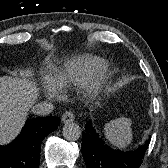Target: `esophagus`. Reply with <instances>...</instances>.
I'll use <instances>...</instances> for the list:
<instances>
[{
  "instance_id": "obj_1",
  "label": "esophagus",
  "mask_w": 168,
  "mask_h": 168,
  "mask_svg": "<svg viewBox=\"0 0 168 168\" xmlns=\"http://www.w3.org/2000/svg\"><path fill=\"white\" fill-rule=\"evenodd\" d=\"M74 119H75V116H74L73 112H71V111H66V112L62 115V121H63V123L73 122Z\"/></svg>"
}]
</instances>
